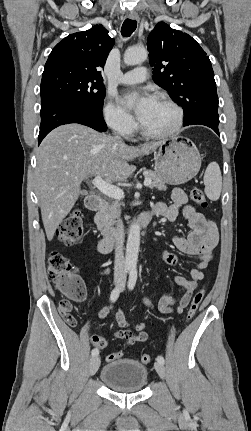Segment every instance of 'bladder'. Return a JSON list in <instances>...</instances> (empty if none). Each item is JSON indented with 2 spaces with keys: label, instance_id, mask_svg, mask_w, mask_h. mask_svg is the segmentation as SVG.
I'll return each instance as SVG.
<instances>
[{
  "label": "bladder",
  "instance_id": "31cf9c89",
  "mask_svg": "<svg viewBox=\"0 0 251 431\" xmlns=\"http://www.w3.org/2000/svg\"><path fill=\"white\" fill-rule=\"evenodd\" d=\"M101 381L110 389L121 393L142 390L147 384L148 371L134 359H116L106 364L100 374Z\"/></svg>",
  "mask_w": 251,
  "mask_h": 431
}]
</instances>
